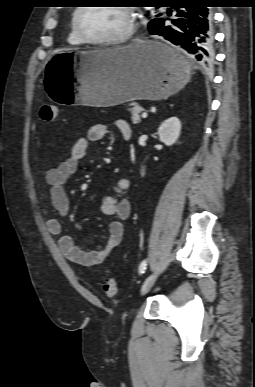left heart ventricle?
<instances>
[{"mask_svg": "<svg viewBox=\"0 0 255 387\" xmlns=\"http://www.w3.org/2000/svg\"><path fill=\"white\" fill-rule=\"evenodd\" d=\"M83 32L94 39L121 35L128 26L126 15L117 7H87L79 16Z\"/></svg>", "mask_w": 255, "mask_h": 387, "instance_id": "left-heart-ventricle-1", "label": "left heart ventricle"}]
</instances>
